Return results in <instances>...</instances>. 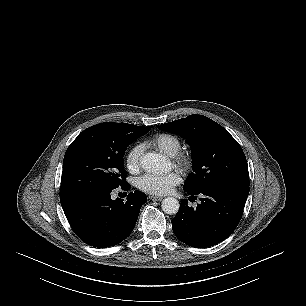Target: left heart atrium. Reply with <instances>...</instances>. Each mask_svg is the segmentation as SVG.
Returning <instances> with one entry per match:
<instances>
[{"label":"left heart atrium","mask_w":306,"mask_h":306,"mask_svg":"<svg viewBox=\"0 0 306 306\" xmlns=\"http://www.w3.org/2000/svg\"><path fill=\"white\" fill-rule=\"evenodd\" d=\"M181 182L179 172L172 171L166 174L147 173L138 179V187L144 192L164 195L170 193Z\"/></svg>","instance_id":"1"}]
</instances>
